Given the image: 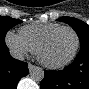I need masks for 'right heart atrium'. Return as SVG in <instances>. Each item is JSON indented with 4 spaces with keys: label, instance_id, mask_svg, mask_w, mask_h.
Here are the masks:
<instances>
[{
    "label": "right heart atrium",
    "instance_id": "right-heart-atrium-1",
    "mask_svg": "<svg viewBox=\"0 0 89 89\" xmlns=\"http://www.w3.org/2000/svg\"><path fill=\"white\" fill-rule=\"evenodd\" d=\"M5 43L10 52L18 57L33 52L31 46L26 41H24L19 34H16L13 31H8L6 33Z\"/></svg>",
    "mask_w": 89,
    "mask_h": 89
}]
</instances>
